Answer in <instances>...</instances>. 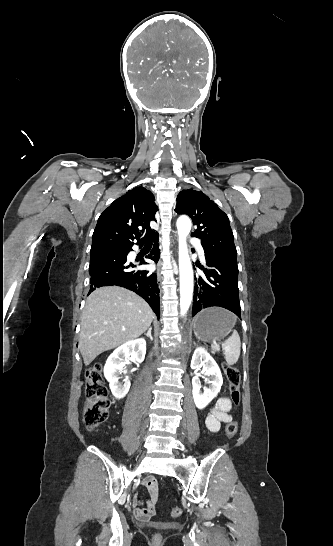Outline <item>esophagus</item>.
Listing matches in <instances>:
<instances>
[{
	"label": "esophagus",
	"instance_id": "34e87169",
	"mask_svg": "<svg viewBox=\"0 0 333 546\" xmlns=\"http://www.w3.org/2000/svg\"><path fill=\"white\" fill-rule=\"evenodd\" d=\"M160 280H161V276H160V274L158 273V281H160Z\"/></svg>",
	"mask_w": 333,
	"mask_h": 546
}]
</instances>
